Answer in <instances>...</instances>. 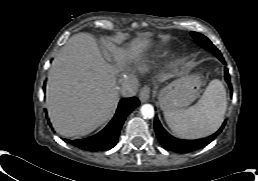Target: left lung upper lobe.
<instances>
[{
	"label": "left lung upper lobe",
	"instance_id": "left-lung-upper-lobe-1",
	"mask_svg": "<svg viewBox=\"0 0 258 181\" xmlns=\"http://www.w3.org/2000/svg\"><path fill=\"white\" fill-rule=\"evenodd\" d=\"M191 36L201 47L211 50L219 59L223 58L220 51L212 44V42L207 37L198 32H191Z\"/></svg>",
	"mask_w": 258,
	"mask_h": 181
}]
</instances>
